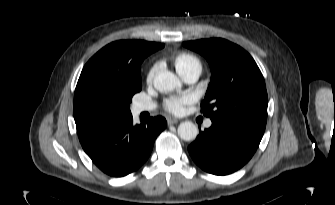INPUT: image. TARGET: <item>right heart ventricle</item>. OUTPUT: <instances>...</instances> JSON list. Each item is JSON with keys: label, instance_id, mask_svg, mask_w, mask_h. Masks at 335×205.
I'll list each match as a JSON object with an SVG mask.
<instances>
[{"label": "right heart ventricle", "instance_id": "obj_1", "mask_svg": "<svg viewBox=\"0 0 335 205\" xmlns=\"http://www.w3.org/2000/svg\"><path fill=\"white\" fill-rule=\"evenodd\" d=\"M174 66L177 72L182 75L190 70L201 72L202 64L200 59L191 53H180L174 58Z\"/></svg>", "mask_w": 335, "mask_h": 205}]
</instances>
